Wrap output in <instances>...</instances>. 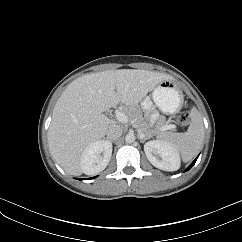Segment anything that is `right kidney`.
I'll return each mask as SVG.
<instances>
[{
    "instance_id": "1",
    "label": "right kidney",
    "mask_w": 242,
    "mask_h": 242,
    "mask_svg": "<svg viewBox=\"0 0 242 242\" xmlns=\"http://www.w3.org/2000/svg\"><path fill=\"white\" fill-rule=\"evenodd\" d=\"M112 155V143L109 140H97L88 145L81 154L80 164L83 173L96 175L103 171Z\"/></svg>"
}]
</instances>
